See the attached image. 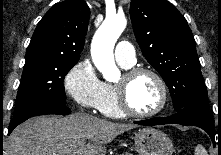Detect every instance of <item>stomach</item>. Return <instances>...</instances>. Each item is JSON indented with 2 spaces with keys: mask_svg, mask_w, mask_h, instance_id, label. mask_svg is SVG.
<instances>
[{
  "mask_svg": "<svg viewBox=\"0 0 221 155\" xmlns=\"http://www.w3.org/2000/svg\"><path fill=\"white\" fill-rule=\"evenodd\" d=\"M138 155H172L173 143L162 131L147 127L138 130L134 137Z\"/></svg>",
  "mask_w": 221,
  "mask_h": 155,
  "instance_id": "0dacf381",
  "label": "stomach"
}]
</instances>
